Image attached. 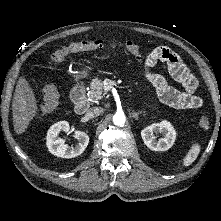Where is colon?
Listing matches in <instances>:
<instances>
[{
	"mask_svg": "<svg viewBox=\"0 0 221 221\" xmlns=\"http://www.w3.org/2000/svg\"><path fill=\"white\" fill-rule=\"evenodd\" d=\"M117 47L123 48L132 55L141 58L143 57L142 48L131 41L113 42ZM105 47V43L100 40L95 41H75L57 49L50 57L49 67L54 68L61 63L67 55L80 52L98 51ZM44 102L41 107V113L45 114L54 109L58 103L60 94L59 91L52 85H45L42 89ZM199 126L202 130L207 131L211 128V120L208 116H203L199 120Z\"/></svg>",
	"mask_w": 221,
	"mask_h": 221,
	"instance_id": "1",
	"label": "colon"
}]
</instances>
